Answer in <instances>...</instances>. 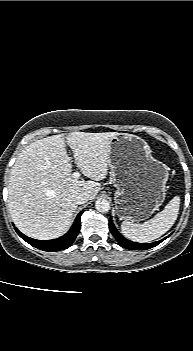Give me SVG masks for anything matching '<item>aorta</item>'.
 Masks as SVG:
<instances>
[{
	"label": "aorta",
	"instance_id": "1",
	"mask_svg": "<svg viewBox=\"0 0 193 351\" xmlns=\"http://www.w3.org/2000/svg\"><path fill=\"white\" fill-rule=\"evenodd\" d=\"M95 208L101 213L108 212L110 210L109 201L104 198H99L95 202Z\"/></svg>",
	"mask_w": 193,
	"mask_h": 351
}]
</instances>
